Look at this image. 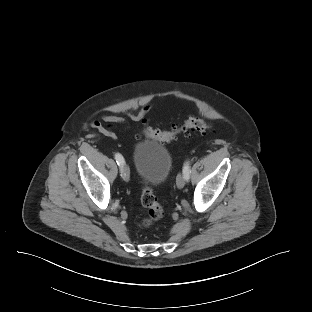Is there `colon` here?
<instances>
[{"instance_id":"1","label":"colon","mask_w":312,"mask_h":312,"mask_svg":"<svg viewBox=\"0 0 312 312\" xmlns=\"http://www.w3.org/2000/svg\"><path fill=\"white\" fill-rule=\"evenodd\" d=\"M213 126L208 121L201 118H191L182 124H175L169 130H162L154 127H145L142 135L146 138L158 141H170L176 139L181 134H188L190 132H207L212 130ZM141 203L146 208L147 214L142 219L141 228H148L156 221L164 216V209L158 202L152 188L145 185L141 194Z\"/></svg>"}]
</instances>
